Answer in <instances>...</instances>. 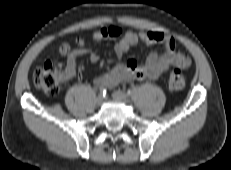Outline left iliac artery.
Listing matches in <instances>:
<instances>
[{"instance_id":"left-iliac-artery-1","label":"left iliac artery","mask_w":231,"mask_h":170,"mask_svg":"<svg viewBox=\"0 0 231 170\" xmlns=\"http://www.w3.org/2000/svg\"><path fill=\"white\" fill-rule=\"evenodd\" d=\"M136 88L127 90V95L133 97L135 95Z\"/></svg>"}]
</instances>
